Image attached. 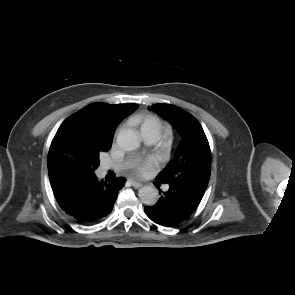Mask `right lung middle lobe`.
Returning <instances> with one entry per match:
<instances>
[{"instance_id":"right-lung-middle-lobe-1","label":"right lung middle lobe","mask_w":295,"mask_h":295,"mask_svg":"<svg viewBox=\"0 0 295 295\" xmlns=\"http://www.w3.org/2000/svg\"><path fill=\"white\" fill-rule=\"evenodd\" d=\"M111 148V144L102 147V146H94L91 148L88 154V160L84 163V165L77 169L76 172L84 173V174H92L99 166V154L101 152H107Z\"/></svg>"}]
</instances>
